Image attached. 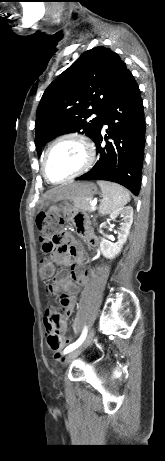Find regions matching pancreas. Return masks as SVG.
Segmentation results:
<instances>
[{
  "instance_id": "1",
  "label": "pancreas",
  "mask_w": 165,
  "mask_h": 461,
  "mask_svg": "<svg viewBox=\"0 0 165 461\" xmlns=\"http://www.w3.org/2000/svg\"><path fill=\"white\" fill-rule=\"evenodd\" d=\"M75 210L94 211L96 208L91 206L90 198H76L73 199Z\"/></svg>"
}]
</instances>
